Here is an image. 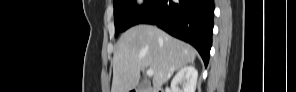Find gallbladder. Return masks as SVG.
Returning a JSON list of instances; mask_svg holds the SVG:
<instances>
[{"label":"gallbladder","instance_id":"obj_1","mask_svg":"<svg viewBox=\"0 0 296 92\" xmlns=\"http://www.w3.org/2000/svg\"><path fill=\"white\" fill-rule=\"evenodd\" d=\"M147 88V85L145 83H141L139 86H138V89L139 91L141 92H144Z\"/></svg>","mask_w":296,"mask_h":92}]
</instances>
